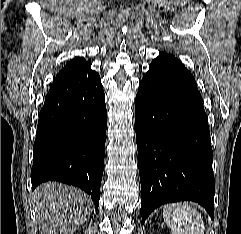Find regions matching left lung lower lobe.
Returning a JSON list of instances; mask_svg holds the SVG:
<instances>
[{
    "instance_id": "left-lung-lower-lobe-1",
    "label": "left lung lower lobe",
    "mask_w": 241,
    "mask_h": 234,
    "mask_svg": "<svg viewBox=\"0 0 241 234\" xmlns=\"http://www.w3.org/2000/svg\"><path fill=\"white\" fill-rule=\"evenodd\" d=\"M149 68L135 100L142 223L157 207L184 200L198 202L213 219V152L194 77L167 53Z\"/></svg>"
}]
</instances>
